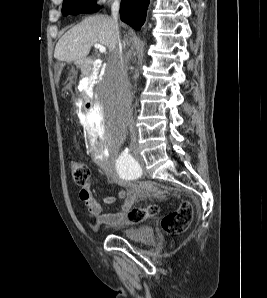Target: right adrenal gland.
Masks as SVG:
<instances>
[{
  "label": "right adrenal gland",
  "mask_w": 267,
  "mask_h": 298,
  "mask_svg": "<svg viewBox=\"0 0 267 298\" xmlns=\"http://www.w3.org/2000/svg\"><path fill=\"white\" fill-rule=\"evenodd\" d=\"M123 45H124V48H125V46H126V40L123 41Z\"/></svg>",
  "instance_id": "1"
}]
</instances>
